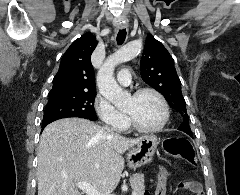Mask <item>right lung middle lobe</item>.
Returning <instances> with one entry per match:
<instances>
[{"mask_svg": "<svg viewBox=\"0 0 240 195\" xmlns=\"http://www.w3.org/2000/svg\"><path fill=\"white\" fill-rule=\"evenodd\" d=\"M96 93H61L49 95L42 125L68 117L97 119L94 110Z\"/></svg>", "mask_w": 240, "mask_h": 195, "instance_id": "obj_1", "label": "right lung middle lobe"}]
</instances>
